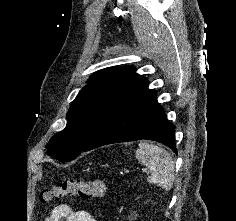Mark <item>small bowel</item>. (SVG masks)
<instances>
[{
  "label": "small bowel",
  "mask_w": 236,
  "mask_h": 221,
  "mask_svg": "<svg viewBox=\"0 0 236 221\" xmlns=\"http://www.w3.org/2000/svg\"><path fill=\"white\" fill-rule=\"evenodd\" d=\"M45 221H96L95 218L85 210L78 209L67 203L54 206Z\"/></svg>",
  "instance_id": "c3829d8e"
}]
</instances>
